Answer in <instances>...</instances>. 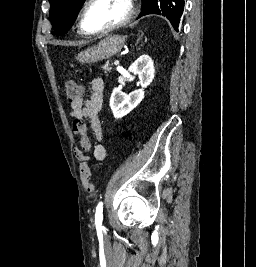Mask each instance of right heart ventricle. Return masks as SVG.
Instances as JSON below:
<instances>
[{
	"label": "right heart ventricle",
	"instance_id": "1",
	"mask_svg": "<svg viewBox=\"0 0 256 267\" xmlns=\"http://www.w3.org/2000/svg\"><path fill=\"white\" fill-rule=\"evenodd\" d=\"M77 32H78L79 35L84 36V34H83L82 31L80 30L79 26H78Z\"/></svg>",
	"mask_w": 256,
	"mask_h": 267
}]
</instances>
